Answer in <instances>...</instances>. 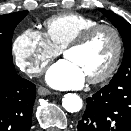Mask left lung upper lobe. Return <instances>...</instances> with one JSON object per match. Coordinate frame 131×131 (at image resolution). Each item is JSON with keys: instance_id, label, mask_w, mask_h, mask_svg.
Here are the masks:
<instances>
[{"instance_id": "obj_1", "label": "left lung upper lobe", "mask_w": 131, "mask_h": 131, "mask_svg": "<svg viewBox=\"0 0 131 131\" xmlns=\"http://www.w3.org/2000/svg\"><path fill=\"white\" fill-rule=\"evenodd\" d=\"M99 10L118 29L122 36L125 48L122 64L110 83L131 79V25L123 18L104 8H100Z\"/></svg>"}]
</instances>
